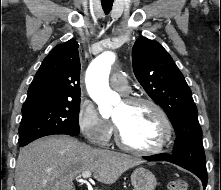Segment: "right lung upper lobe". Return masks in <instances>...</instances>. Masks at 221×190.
Returning <instances> with one entry per match:
<instances>
[{"label": "right lung upper lobe", "instance_id": "1", "mask_svg": "<svg viewBox=\"0 0 221 190\" xmlns=\"http://www.w3.org/2000/svg\"><path fill=\"white\" fill-rule=\"evenodd\" d=\"M78 43L69 40L55 46L43 60L23 105L44 101L80 99Z\"/></svg>", "mask_w": 221, "mask_h": 190}]
</instances>
